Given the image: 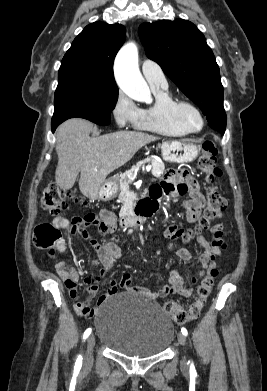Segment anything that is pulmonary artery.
Masks as SVG:
<instances>
[{"label":"pulmonary artery","mask_w":267,"mask_h":391,"mask_svg":"<svg viewBox=\"0 0 267 391\" xmlns=\"http://www.w3.org/2000/svg\"><path fill=\"white\" fill-rule=\"evenodd\" d=\"M142 73L150 87H167L166 77L158 64L145 59L142 62Z\"/></svg>","instance_id":"obj_1"}]
</instances>
